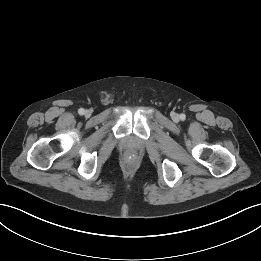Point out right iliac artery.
I'll use <instances>...</instances> for the list:
<instances>
[{
    "instance_id": "1",
    "label": "right iliac artery",
    "mask_w": 261,
    "mask_h": 261,
    "mask_svg": "<svg viewBox=\"0 0 261 261\" xmlns=\"http://www.w3.org/2000/svg\"><path fill=\"white\" fill-rule=\"evenodd\" d=\"M78 113H79L80 115H83V114L85 113V110H84L83 108H80V109L78 110Z\"/></svg>"
}]
</instances>
